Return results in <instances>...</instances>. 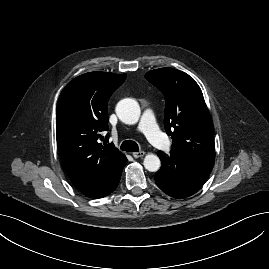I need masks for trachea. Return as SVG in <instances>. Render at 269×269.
I'll return each instance as SVG.
<instances>
[{
  "mask_svg": "<svg viewBox=\"0 0 269 269\" xmlns=\"http://www.w3.org/2000/svg\"><path fill=\"white\" fill-rule=\"evenodd\" d=\"M121 150L127 151V152H138L139 146L135 141L132 140H126L121 144Z\"/></svg>",
  "mask_w": 269,
  "mask_h": 269,
  "instance_id": "obj_1",
  "label": "trachea"
}]
</instances>
